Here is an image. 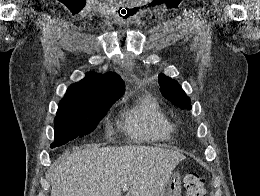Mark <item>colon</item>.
Instances as JSON below:
<instances>
[{
  "mask_svg": "<svg viewBox=\"0 0 260 196\" xmlns=\"http://www.w3.org/2000/svg\"><path fill=\"white\" fill-rule=\"evenodd\" d=\"M186 196H205V179L202 175L189 172L183 178Z\"/></svg>",
  "mask_w": 260,
  "mask_h": 196,
  "instance_id": "colon-1",
  "label": "colon"
}]
</instances>
